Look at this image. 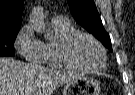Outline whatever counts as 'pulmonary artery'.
Here are the masks:
<instances>
[{
	"label": "pulmonary artery",
	"mask_w": 135,
	"mask_h": 95,
	"mask_svg": "<svg viewBox=\"0 0 135 95\" xmlns=\"http://www.w3.org/2000/svg\"><path fill=\"white\" fill-rule=\"evenodd\" d=\"M54 19H58V20H63V19H65L63 16H57V17H55Z\"/></svg>",
	"instance_id": "e3ab8cb5"
}]
</instances>
